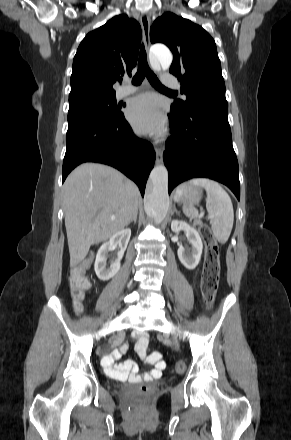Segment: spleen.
<instances>
[{
    "instance_id": "1",
    "label": "spleen",
    "mask_w": 291,
    "mask_h": 440,
    "mask_svg": "<svg viewBox=\"0 0 291 440\" xmlns=\"http://www.w3.org/2000/svg\"><path fill=\"white\" fill-rule=\"evenodd\" d=\"M189 184L205 188L206 208L213 234L221 244L226 243L234 221L233 205L228 193L219 183L208 178H194ZM183 212L190 218L198 216V210L186 204L183 205Z\"/></svg>"
}]
</instances>
